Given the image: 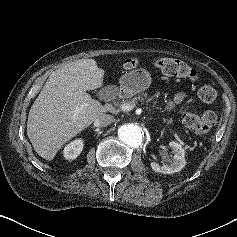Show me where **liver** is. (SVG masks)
<instances>
[{
    "mask_svg": "<svg viewBox=\"0 0 237 237\" xmlns=\"http://www.w3.org/2000/svg\"><path fill=\"white\" fill-rule=\"evenodd\" d=\"M104 71L94 59H81L55 70L34 101L27 135L39 156L52 160L61 147L104 114L86 92L103 85Z\"/></svg>",
    "mask_w": 237,
    "mask_h": 237,
    "instance_id": "1",
    "label": "liver"
}]
</instances>
